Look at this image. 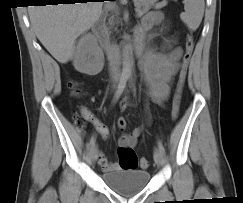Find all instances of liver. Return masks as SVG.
<instances>
[{
  "mask_svg": "<svg viewBox=\"0 0 243 203\" xmlns=\"http://www.w3.org/2000/svg\"><path fill=\"white\" fill-rule=\"evenodd\" d=\"M103 2L31 6L28 9L35 34L60 63L73 56L75 40L102 14Z\"/></svg>",
  "mask_w": 243,
  "mask_h": 203,
  "instance_id": "1",
  "label": "liver"
}]
</instances>
